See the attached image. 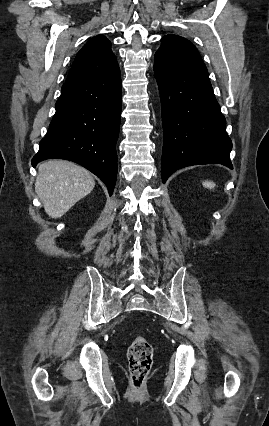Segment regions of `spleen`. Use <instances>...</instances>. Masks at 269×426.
Wrapping results in <instances>:
<instances>
[{
	"label": "spleen",
	"mask_w": 269,
	"mask_h": 426,
	"mask_svg": "<svg viewBox=\"0 0 269 426\" xmlns=\"http://www.w3.org/2000/svg\"><path fill=\"white\" fill-rule=\"evenodd\" d=\"M204 187L208 188V189H214L215 188V183L211 182V181H205L203 182Z\"/></svg>",
	"instance_id": "obj_1"
}]
</instances>
